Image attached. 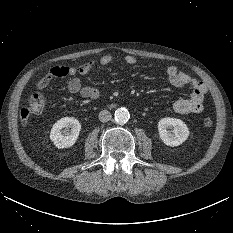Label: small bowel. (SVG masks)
<instances>
[{
	"label": "small bowel",
	"mask_w": 233,
	"mask_h": 233,
	"mask_svg": "<svg viewBox=\"0 0 233 233\" xmlns=\"http://www.w3.org/2000/svg\"><path fill=\"white\" fill-rule=\"evenodd\" d=\"M115 60V57L111 54H105L98 59H92L81 64L79 67H53L43 78H41L36 87L43 89L47 87L53 79L70 76L72 77L68 82V91L71 94H78L84 98L90 100H96L100 96V92L97 88L91 86H84L76 75L87 74L97 65L107 66ZM127 64L134 65L137 59L133 55H127L125 57ZM166 74L169 82L176 88H183L188 85L192 86V93L188 98H182L176 100L172 104V109L178 114H195L201 113L204 109V96L207 91V87L204 82L192 78L187 73L180 71L176 66H168L166 68Z\"/></svg>",
	"instance_id": "c3829d8e"
}]
</instances>
